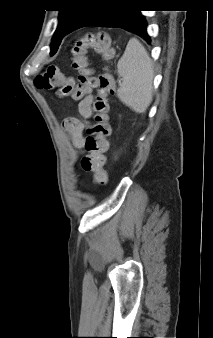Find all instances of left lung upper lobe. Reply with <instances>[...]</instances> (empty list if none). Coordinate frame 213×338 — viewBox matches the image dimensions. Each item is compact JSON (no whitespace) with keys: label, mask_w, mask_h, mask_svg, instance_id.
I'll return each instance as SVG.
<instances>
[{"label":"left lung upper lobe","mask_w":213,"mask_h":338,"mask_svg":"<svg viewBox=\"0 0 213 338\" xmlns=\"http://www.w3.org/2000/svg\"><path fill=\"white\" fill-rule=\"evenodd\" d=\"M103 0H65L67 8L60 10L59 22L52 38L50 55H54L65 35L70 33L71 27L82 17L91 6Z\"/></svg>","instance_id":"obj_1"}]
</instances>
